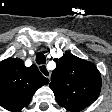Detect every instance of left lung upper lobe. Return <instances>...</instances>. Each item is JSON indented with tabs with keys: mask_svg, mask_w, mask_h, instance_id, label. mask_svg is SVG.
I'll return each mask as SVG.
<instances>
[{
	"mask_svg": "<svg viewBox=\"0 0 112 112\" xmlns=\"http://www.w3.org/2000/svg\"><path fill=\"white\" fill-rule=\"evenodd\" d=\"M50 88L61 107L77 112L91 105L100 94L101 74L97 67L84 59L66 52L55 59Z\"/></svg>",
	"mask_w": 112,
	"mask_h": 112,
	"instance_id": "1",
	"label": "left lung upper lobe"
}]
</instances>
